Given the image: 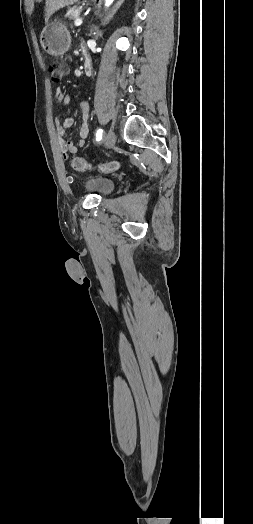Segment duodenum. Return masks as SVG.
Here are the masks:
<instances>
[{
    "label": "duodenum",
    "mask_w": 253,
    "mask_h": 524,
    "mask_svg": "<svg viewBox=\"0 0 253 524\" xmlns=\"http://www.w3.org/2000/svg\"><path fill=\"white\" fill-rule=\"evenodd\" d=\"M85 72L90 75L92 73V64L89 61H86L84 64Z\"/></svg>",
    "instance_id": "obj_1"
}]
</instances>
